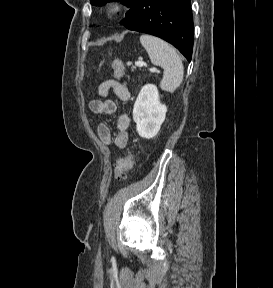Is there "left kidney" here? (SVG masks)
I'll use <instances>...</instances> for the list:
<instances>
[{
	"mask_svg": "<svg viewBox=\"0 0 273 288\" xmlns=\"http://www.w3.org/2000/svg\"><path fill=\"white\" fill-rule=\"evenodd\" d=\"M166 112L167 107L160 103L157 87L153 84L144 85L133 108V120L140 137H155L165 120Z\"/></svg>",
	"mask_w": 273,
	"mask_h": 288,
	"instance_id": "obj_1",
	"label": "left kidney"
}]
</instances>
